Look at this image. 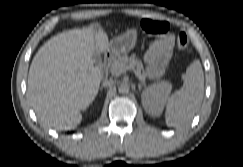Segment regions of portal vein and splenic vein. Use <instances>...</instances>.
Listing matches in <instances>:
<instances>
[{
	"label": "portal vein and splenic vein",
	"mask_w": 243,
	"mask_h": 167,
	"mask_svg": "<svg viewBox=\"0 0 243 167\" xmlns=\"http://www.w3.org/2000/svg\"><path fill=\"white\" fill-rule=\"evenodd\" d=\"M129 69H133V67H130V66H126V67L120 66L117 69V73H124V72H126V70H129ZM135 74H136V72H135ZM136 76L138 77L139 80H141V81L144 82V80H143V78L141 76H138L137 74H136Z\"/></svg>",
	"instance_id": "obj_1"
}]
</instances>
